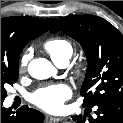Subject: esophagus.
<instances>
[{
	"instance_id": "1",
	"label": "esophagus",
	"mask_w": 123,
	"mask_h": 123,
	"mask_svg": "<svg viewBox=\"0 0 123 123\" xmlns=\"http://www.w3.org/2000/svg\"><path fill=\"white\" fill-rule=\"evenodd\" d=\"M46 119L52 122H59L63 120L62 117H54V116H46Z\"/></svg>"
}]
</instances>
